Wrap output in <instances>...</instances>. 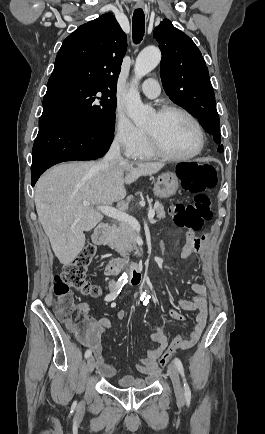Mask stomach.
Segmentation results:
<instances>
[{"label":"stomach","mask_w":265,"mask_h":434,"mask_svg":"<svg viewBox=\"0 0 265 434\" xmlns=\"http://www.w3.org/2000/svg\"><path fill=\"white\" fill-rule=\"evenodd\" d=\"M178 188L179 182L176 174L167 172V174H161L157 178L153 192L157 198H171V196L176 194Z\"/></svg>","instance_id":"1"}]
</instances>
